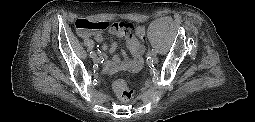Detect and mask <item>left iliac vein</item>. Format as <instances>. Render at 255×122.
I'll return each instance as SVG.
<instances>
[{
    "mask_svg": "<svg viewBox=\"0 0 255 122\" xmlns=\"http://www.w3.org/2000/svg\"><path fill=\"white\" fill-rule=\"evenodd\" d=\"M152 63L156 64L158 62V57L155 54L151 55Z\"/></svg>",
    "mask_w": 255,
    "mask_h": 122,
    "instance_id": "obj_1",
    "label": "left iliac vein"
}]
</instances>
